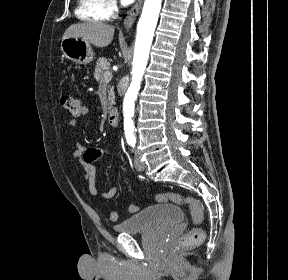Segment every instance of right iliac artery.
<instances>
[{
	"label": "right iliac artery",
	"instance_id": "82829eb1",
	"mask_svg": "<svg viewBox=\"0 0 288 280\" xmlns=\"http://www.w3.org/2000/svg\"><path fill=\"white\" fill-rule=\"evenodd\" d=\"M129 145H132V146H134V144H131V143H129Z\"/></svg>",
	"mask_w": 288,
	"mask_h": 280
}]
</instances>
